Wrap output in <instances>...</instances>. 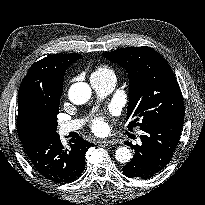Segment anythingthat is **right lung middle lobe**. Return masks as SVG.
Instances as JSON below:
<instances>
[{"label":"right lung middle lobe","instance_id":"dd1d6c3e","mask_svg":"<svg viewBox=\"0 0 205 205\" xmlns=\"http://www.w3.org/2000/svg\"><path fill=\"white\" fill-rule=\"evenodd\" d=\"M60 98L56 100H41L31 104L30 110L34 117L44 123L50 134H57V114Z\"/></svg>","mask_w":205,"mask_h":205}]
</instances>
